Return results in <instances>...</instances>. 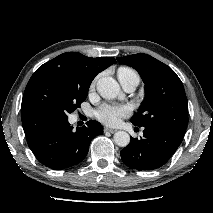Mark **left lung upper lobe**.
<instances>
[{"label":"left lung upper lobe","instance_id":"obj_1","mask_svg":"<svg viewBox=\"0 0 213 213\" xmlns=\"http://www.w3.org/2000/svg\"><path fill=\"white\" fill-rule=\"evenodd\" d=\"M140 74L146 98L131 122L138 127H169L185 133L188 122V103L180 78L166 64L150 55L139 53L117 57Z\"/></svg>","mask_w":213,"mask_h":213}]
</instances>
